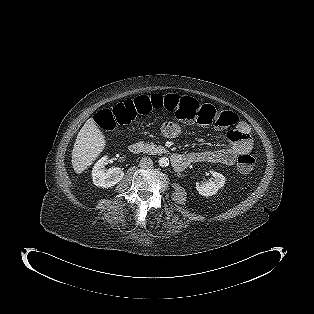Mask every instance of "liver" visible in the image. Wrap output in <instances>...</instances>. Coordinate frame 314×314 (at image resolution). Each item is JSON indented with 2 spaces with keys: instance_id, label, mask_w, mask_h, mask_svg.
I'll return each instance as SVG.
<instances>
[{
  "instance_id": "liver-1",
  "label": "liver",
  "mask_w": 314,
  "mask_h": 314,
  "mask_svg": "<svg viewBox=\"0 0 314 314\" xmlns=\"http://www.w3.org/2000/svg\"><path fill=\"white\" fill-rule=\"evenodd\" d=\"M106 146L105 136L95 121L88 119L79 131L72 151V167L81 174L97 159Z\"/></svg>"
}]
</instances>
